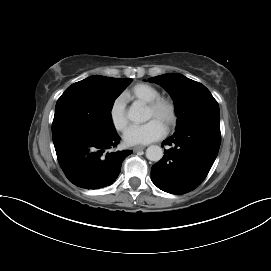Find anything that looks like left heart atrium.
I'll return each instance as SVG.
<instances>
[{
	"instance_id": "1",
	"label": "left heart atrium",
	"mask_w": 271,
	"mask_h": 271,
	"mask_svg": "<svg viewBox=\"0 0 271 271\" xmlns=\"http://www.w3.org/2000/svg\"><path fill=\"white\" fill-rule=\"evenodd\" d=\"M166 134L163 124L155 119L143 125L130 126L123 135L127 145H144L161 139Z\"/></svg>"
}]
</instances>
